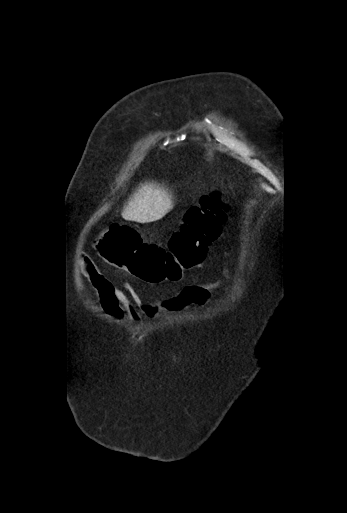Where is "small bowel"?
Listing matches in <instances>:
<instances>
[{"instance_id": "small-bowel-1", "label": "small bowel", "mask_w": 347, "mask_h": 513, "mask_svg": "<svg viewBox=\"0 0 347 513\" xmlns=\"http://www.w3.org/2000/svg\"><path fill=\"white\" fill-rule=\"evenodd\" d=\"M79 268L82 276L97 293L104 312L114 319H121L126 315L132 321H140L157 317L161 312L170 309L189 305L205 306L211 301V291L223 287L220 281L192 283L185 285L168 301L145 303L131 284H124V290L113 286L89 257L81 258Z\"/></svg>"}]
</instances>
